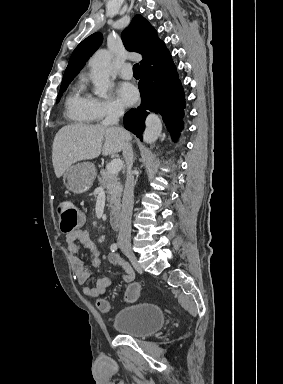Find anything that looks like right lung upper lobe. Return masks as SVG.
Returning a JSON list of instances; mask_svg holds the SVG:
<instances>
[{
	"label": "right lung upper lobe",
	"instance_id": "cb5924a9",
	"mask_svg": "<svg viewBox=\"0 0 283 384\" xmlns=\"http://www.w3.org/2000/svg\"><path fill=\"white\" fill-rule=\"evenodd\" d=\"M122 39L127 50L143 56L140 62L141 74L160 70L172 62L171 55L164 42L157 37L156 30L139 14L124 30ZM102 40V34L96 32L76 47L70 57L62 83L71 82L74 79L89 57L98 49Z\"/></svg>",
	"mask_w": 283,
	"mask_h": 384
}]
</instances>
